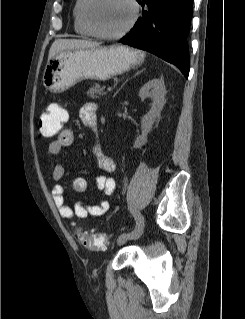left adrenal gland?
<instances>
[{"mask_svg": "<svg viewBox=\"0 0 245 319\" xmlns=\"http://www.w3.org/2000/svg\"><path fill=\"white\" fill-rule=\"evenodd\" d=\"M143 70H144V69H142V70H140V71H137L133 77H135V76L139 75L140 73H142ZM130 79H132V77H131ZM128 80H129V79H127V80L121 85V87L116 91L115 95L120 91V89L125 85V83H127Z\"/></svg>", "mask_w": 245, "mask_h": 319, "instance_id": "a2214340", "label": "left adrenal gland"}]
</instances>
